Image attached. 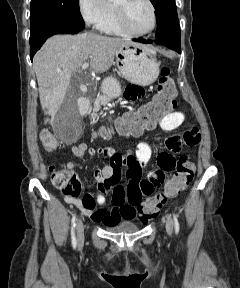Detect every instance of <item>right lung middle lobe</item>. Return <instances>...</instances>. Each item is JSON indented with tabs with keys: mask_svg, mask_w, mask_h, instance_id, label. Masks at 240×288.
Masks as SVG:
<instances>
[{
	"mask_svg": "<svg viewBox=\"0 0 240 288\" xmlns=\"http://www.w3.org/2000/svg\"><path fill=\"white\" fill-rule=\"evenodd\" d=\"M30 13V41L52 24L85 25L79 0H31Z\"/></svg>",
	"mask_w": 240,
	"mask_h": 288,
	"instance_id": "dd1d6c3e",
	"label": "right lung middle lobe"
}]
</instances>
